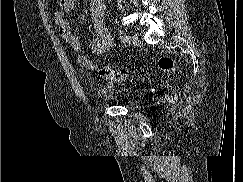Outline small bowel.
I'll use <instances>...</instances> for the list:
<instances>
[{"mask_svg": "<svg viewBox=\"0 0 243 182\" xmlns=\"http://www.w3.org/2000/svg\"><path fill=\"white\" fill-rule=\"evenodd\" d=\"M76 7L77 0H60V10L55 12L54 21L63 40L72 50L79 52L81 49V42L79 37L72 32L69 20V15L76 9ZM89 13L94 31V37L91 43V51L96 56H101L113 45V37L103 23L105 14L104 0H91L89 5ZM77 63L87 72L95 71L97 68V63L91 60L85 54L78 55Z\"/></svg>", "mask_w": 243, "mask_h": 182, "instance_id": "obj_1", "label": "small bowel"}]
</instances>
